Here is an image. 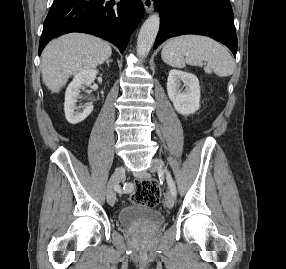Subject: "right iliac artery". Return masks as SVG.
I'll return each mask as SVG.
<instances>
[{"label":"right iliac artery","mask_w":286,"mask_h":269,"mask_svg":"<svg viewBox=\"0 0 286 269\" xmlns=\"http://www.w3.org/2000/svg\"><path fill=\"white\" fill-rule=\"evenodd\" d=\"M127 187L128 186H124L123 189H120L118 186H116L115 190H117L118 192H125Z\"/></svg>","instance_id":"obj_1"}]
</instances>
